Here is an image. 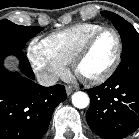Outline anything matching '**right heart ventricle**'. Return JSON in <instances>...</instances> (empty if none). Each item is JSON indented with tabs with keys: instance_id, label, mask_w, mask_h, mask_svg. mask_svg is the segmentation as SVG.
<instances>
[{
	"instance_id": "e07e8e85",
	"label": "right heart ventricle",
	"mask_w": 139,
	"mask_h": 139,
	"mask_svg": "<svg viewBox=\"0 0 139 139\" xmlns=\"http://www.w3.org/2000/svg\"><path fill=\"white\" fill-rule=\"evenodd\" d=\"M102 27L98 23H79L51 33L44 41L56 56L68 64L86 39Z\"/></svg>"
}]
</instances>
